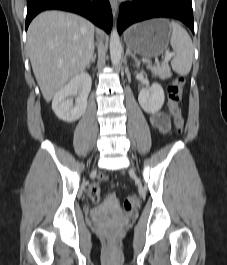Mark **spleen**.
I'll use <instances>...</instances> for the list:
<instances>
[{
	"mask_svg": "<svg viewBox=\"0 0 227 265\" xmlns=\"http://www.w3.org/2000/svg\"><path fill=\"white\" fill-rule=\"evenodd\" d=\"M169 25L172 29L170 44L175 53L171 61L172 69L179 75H187L192 67L194 53L191 37L179 23L172 21Z\"/></svg>",
	"mask_w": 227,
	"mask_h": 265,
	"instance_id": "spleen-1",
	"label": "spleen"
}]
</instances>
